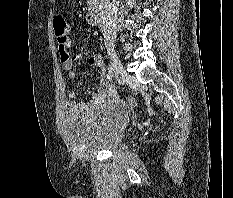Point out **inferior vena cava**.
<instances>
[{
    "mask_svg": "<svg viewBox=\"0 0 233 198\" xmlns=\"http://www.w3.org/2000/svg\"><path fill=\"white\" fill-rule=\"evenodd\" d=\"M101 31L104 37V43L108 51H113L115 47L117 22V4L116 0H101Z\"/></svg>",
    "mask_w": 233,
    "mask_h": 198,
    "instance_id": "obj_1",
    "label": "inferior vena cava"
}]
</instances>
